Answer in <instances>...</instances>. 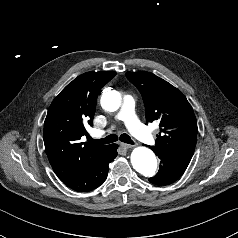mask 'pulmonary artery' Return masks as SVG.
Instances as JSON below:
<instances>
[{"label": "pulmonary artery", "instance_id": "pulmonary-artery-1", "mask_svg": "<svg viewBox=\"0 0 238 238\" xmlns=\"http://www.w3.org/2000/svg\"><path fill=\"white\" fill-rule=\"evenodd\" d=\"M116 118L123 121L130 132L141 141L148 144H152L154 142V138L151 133L139 121L135 114V100L133 96L128 94L124 96L122 108ZM103 133V131H96L94 132V135L101 136Z\"/></svg>", "mask_w": 238, "mask_h": 238}]
</instances>
